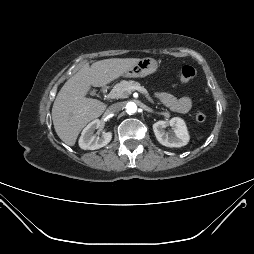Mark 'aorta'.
<instances>
[{
	"mask_svg": "<svg viewBox=\"0 0 254 254\" xmlns=\"http://www.w3.org/2000/svg\"><path fill=\"white\" fill-rule=\"evenodd\" d=\"M136 111H137V106H136L135 103H133V102L127 103V105H126V112L128 114H134Z\"/></svg>",
	"mask_w": 254,
	"mask_h": 254,
	"instance_id": "1",
	"label": "aorta"
}]
</instances>
